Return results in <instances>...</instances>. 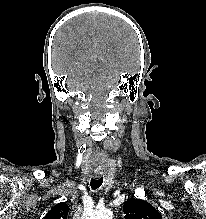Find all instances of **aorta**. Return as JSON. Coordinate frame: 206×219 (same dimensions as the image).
Here are the masks:
<instances>
[{
  "label": "aorta",
  "mask_w": 206,
  "mask_h": 219,
  "mask_svg": "<svg viewBox=\"0 0 206 219\" xmlns=\"http://www.w3.org/2000/svg\"><path fill=\"white\" fill-rule=\"evenodd\" d=\"M113 214L107 208L96 209L91 213L84 214L82 219H112Z\"/></svg>",
  "instance_id": "1"
}]
</instances>
